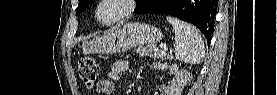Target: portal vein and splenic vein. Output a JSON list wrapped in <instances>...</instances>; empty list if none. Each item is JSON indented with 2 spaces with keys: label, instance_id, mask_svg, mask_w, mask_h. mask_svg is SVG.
<instances>
[{
  "label": "portal vein and splenic vein",
  "instance_id": "portal-vein-and-splenic-vein-1",
  "mask_svg": "<svg viewBox=\"0 0 277 95\" xmlns=\"http://www.w3.org/2000/svg\"><path fill=\"white\" fill-rule=\"evenodd\" d=\"M160 48H162V49H164V50H167L166 44H161V45H160Z\"/></svg>",
  "mask_w": 277,
  "mask_h": 95
}]
</instances>
